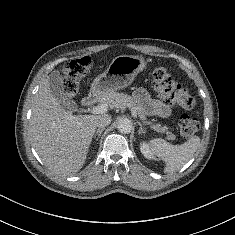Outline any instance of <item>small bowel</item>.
Listing matches in <instances>:
<instances>
[{
  "mask_svg": "<svg viewBox=\"0 0 235 235\" xmlns=\"http://www.w3.org/2000/svg\"><path fill=\"white\" fill-rule=\"evenodd\" d=\"M134 98L139 106L148 114L166 118L171 113V110L167 104L152 98L143 88H138L134 91Z\"/></svg>",
  "mask_w": 235,
  "mask_h": 235,
  "instance_id": "1",
  "label": "small bowel"
}]
</instances>
